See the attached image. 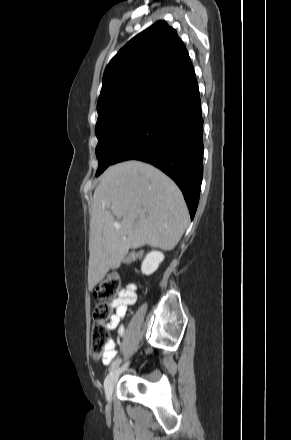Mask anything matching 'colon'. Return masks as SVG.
I'll list each match as a JSON object with an SVG mask.
<instances>
[{
	"mask_svg": "<svg viewBox=\"0 0 291 440\" xmlns=\"http://www.w3.org/2000/svg\"><path fill=\"white\" fill-rule=\"evenodd\" d=\"M121 281L116 273L109 274L94 289V296L99 303L93 313V323L90 331V353L96 358H104L108 347V328L104 321L110 313L107 300L116 297L123 292Z\"/></svg>",
	"mask_w": 291,
	"mask_h": 440,
	"instance_id": "1",
	"label": "colon"
}]
</instances>
